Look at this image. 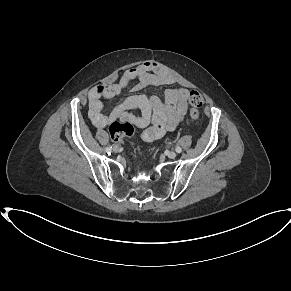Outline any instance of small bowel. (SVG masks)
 <instances>
[{
	"mask_svg": "<svg viewBox=\"0 0 291 291\" xmlns=\"http://www.w3.org/2000/svg\"><path fill=\"white\" fill-rule=\"evenodd\" d=\"M137 80L134 90L147 86H167L175 83L174 77L153 62L126 70L118 82L96 85L89 91V116L97 128H105L116 120L130 122L144 128L140 134L143 141L151 142L174 130L188 110L189 91L177 87L166 89L164 97L134 95L117 104L109 113L104 111L103 99H110ZM130 108H139L141 114L130 113Z\"/></svg>",
	"mask_w": 291,
	"mask_h": 291,
	"instance_id": "1",
	"label": "small bowel"
}]
</instances>
